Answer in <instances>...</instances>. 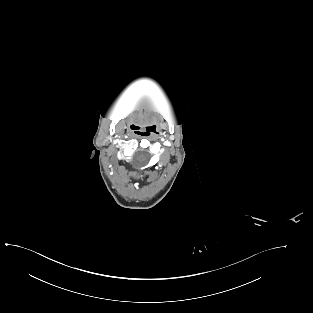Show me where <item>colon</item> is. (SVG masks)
<instances>
[{
  "instance_id": "colon-1",
  "label": "colon",
  "mask_w": 313,
  "mask_h": 313,
  "mask_svg": "<svg viewBox=\"0 0 313 313\" xmlns=\"http://www.w3.org/2000/svg\"><path fill=\"white\" fill-rule=\"evenodd\" d=\"M228 241H229V242L233 241L232 236H228Z\"/></svg>"
}]
</instances>
